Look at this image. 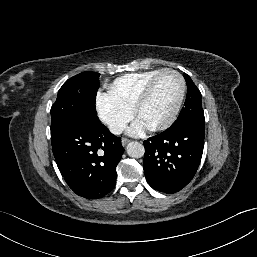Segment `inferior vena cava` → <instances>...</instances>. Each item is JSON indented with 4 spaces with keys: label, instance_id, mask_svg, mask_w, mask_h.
<instances>
[{
    "label": "inferior vena cava",
    "instance_id": "inferior-vena-cava-1",
    "mask_svg": "<svg viewBox=\"0 0 257 257\" xmlns=\"http://www.w3.org/2000/svg\"><path fill=\"white\" fill-rule=\"evenodd\" d=\"M125 127H126L125 123L118 122V121L110 122L108 125L110 132L115 135L121 134L124 131Z\"/></svg>",
    "mask_w": 257,
    "mask_h": 257
}]
</instances>
